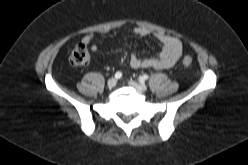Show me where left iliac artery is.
Masks as SVG:
<instances>
[{"label":"left iliac artery","instance_id":"obj_1","mask_svg":"<svg viewBox=\"0 0 248 165\" xmlns=\"http://www.w3.org/2000/svg\"><path fill=\"white\" fill-rule=\"evenodd\" d=\"M148 79H149V76L146 75V74L139 77V81H140V82H144V81H146V80H148Z\"/></svg>","mask_w":248,"mask_h":165}]
</instances>
